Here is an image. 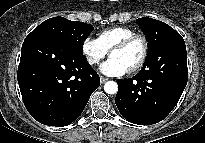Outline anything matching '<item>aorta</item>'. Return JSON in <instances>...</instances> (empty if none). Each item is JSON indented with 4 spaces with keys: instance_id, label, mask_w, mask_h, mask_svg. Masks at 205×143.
Here are the masks:
<instances>
[{
    "instance_id": "762f6f07",
    "label": "aorta",
    "mask_w": 205,
    "mask_h": 143,
    "mask_svg": "<svg viewBox=\"0 0 205 143\" xmlns=\"http://www.w3.org/2000/svg\"><path fill=\"white\" fill-rule=\"evenodd\" d=\"M104 91L107 94H115L118 91V85L114 81H108L104 85Z\"/></svg>"
}]
</instances>
